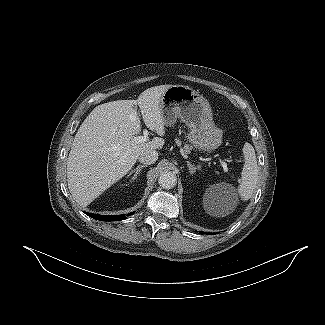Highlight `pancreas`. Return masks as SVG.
<instances>
[{
  "mask_svg": "<svg viewBox=\"0 0 325 325\" xmlns=\"http://www.w3.org/2000/svg\"><path fill=\"white\" fill-rule=\"evenodd\" d=\"M177 144H178V145H181V142L178 140V141H177ZM183 149H184V152H185V153H190L192 147L189 146L188 144H185L184 147H183Z\"/></svg>",
  "mask_w": 325,
  "mask_h": 325,
  "instance_id": "1",
  "label": "pancreas"
}]
</instances>
